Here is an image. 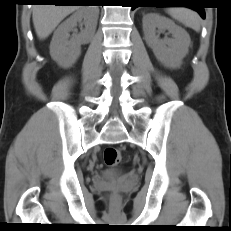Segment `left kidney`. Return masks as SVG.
<instances>
[{"label": "left kidney", "instance_id": "left-kidney-1", "mask_svg": "<svg viewBox=\"0 0 231 231\" xmlns=\"http://www.w3.org/2000/svg\"><path fill=\"white\" fill-rule=\"evenodd\" d=\"M142 22L146 43L152 48L158 61L169 68L179 67L191 43L187 31L172 20L155 13L145 15ZM156 28L168 30L172 38L159 39Z\"/></svg>", "mask_w": 231, "mask_h": 231}]
</instances>
